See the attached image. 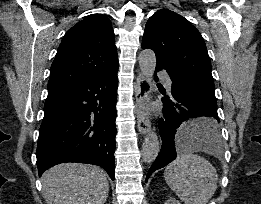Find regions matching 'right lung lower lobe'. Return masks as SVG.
Masks as SVG:
<instances>
[{
    "label": "right lung lower lobe",
    "instance_id": "obj_1",
    "mask_svg": "<svg viewBox=\"0 0 261 204\" xmlns=\"http://www.w3.org/2000/svg\"><path fill=\"white\" fill-rule=\"evenodd\" d=\"M118 67L97 77L48 89L39 131V176L79 162L103 167L114 180Z\"/></svg>",
    "mask_w": 261,
    "mask_h": 204
}]
</instances>
